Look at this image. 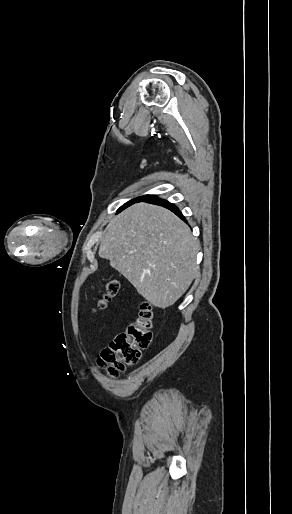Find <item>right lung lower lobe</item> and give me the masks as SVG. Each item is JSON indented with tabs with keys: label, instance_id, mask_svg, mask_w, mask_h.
<instances>
[{
	"label": "right lung lower lobe",
	"instance_id": "right-lung-lower-lobe-1",
	"mask_svg": "<svg viewBox=\"0 0 292 514\" xmlns=\"http://www.w3.org/2000/svg\"><path fill=\"white\" fill-rule=\"evenodd\" d=\"M141 201L151 203V204H156L159 206H163V207L171 210L172 212H174L182 220L186 221L185 218L183 217L182 213L178 209V207H176L174 204L168 202L167 200L160 199L156 195H145V197ZM141 201H139V202H141Z\"/></svg>",
	"mask_w": 292,
	"mask_h": 514
}]
</instances>
